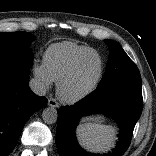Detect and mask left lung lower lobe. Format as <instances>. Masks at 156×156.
Wrapping results in <instances>:
<instances>
[{
  "mask_svg": "<svg viewBox=\"0 0 156 156\" xmlns=\"http://www.w3.org/2000/svg\"><path fill=\"white\" fill-rule=\"evenodd\" d=\"M143 107L141 86L126 84L98 88L72 106L58 110L56 146L60 156H121L129 147ZM111 114L120 124V141L105 155L85 152L75 138L79 118L88 114Z\"/></svg>",
  "mask_w": 156,
  "mask_h": 156,
  "instance_id": "left-lung-lower-lobe-1",
  "label": "left lung lower lobe"
}]
</instances>
